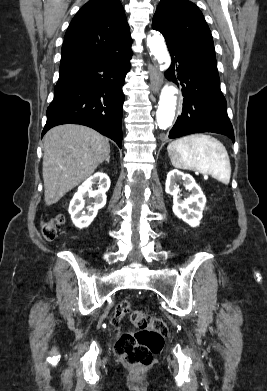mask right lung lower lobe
<instances>
[{
    "instance_id": "1",
    "label": "right lung lower lobe",
    "mask_w": 267,
    "mask_h": 391,
    "mask_svg": "<svg viewBox=\"0 0 267 391\" xmlns=\"http://www.w3.org/2000/svg\"><path fill=\"white\" fill-rule=\"evenodd\" d=\"M131 49L61 73L47 109L42 136L60 124L91 127L122 147L124 77L130 70Z\"/></svg>"
}]
</instances>
